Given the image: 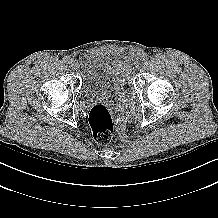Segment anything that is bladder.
I'll return each mask as SVG.
<instances>
[{"label": "bladder", "instance_id": "bladder-1", "mask_svg": "<svg viewBox=\"0 0 218 218\" xmlns=\"http://www.w3.org/2000/svg\"><path fill=\"white\" fill-rule=\"evenodd\" d=\"M82 91L88 98L123 95L131 85V63L121 56L86 53L80 57Z\"/></svg>", "mask_w": 218, "mask_h": 218}]
</instances>
